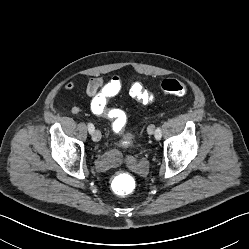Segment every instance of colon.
<instances>
[{
    "label": "colon",
    "mask_w": 249,
    "mask_h": 249,
    "mask_svg": "<svg viewBox=\"0 0 249 249\" xmlns=\"http://www.w3.org/2000/svg\"><path fill=\"white\" fill-rule=\"evenodd\" d=\"M113 87L111 94H117L122 87V79L119 76H114L111 79ZM129 94L132 98L140 101L143 104H150L154 100V95L140 81L129 80ZM160 90L165 94L183 96L187 92V86L183 81L177 79H164L160 84ZM126 124L125 119H118L114 123V131L120 133L123 131ZM114 191L116 194L125 196L128 195L132 188L130 186V177L125 173H120L114 181Z\"/></svg>",
    "instance_id": "colon-1"
}]
</instances>
